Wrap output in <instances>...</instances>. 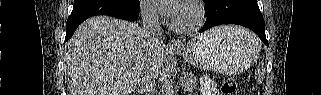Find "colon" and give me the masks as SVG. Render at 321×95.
Segmentation results:
<instances>
[{"label":"colon","instance_id":"obj_1","mask_svg":"<svg viewBox=\"0 0 321 95\" xmlns=\"http://www.w3.org/2000/svg\"><path fill=\"white\" fill-rule=\"evenodd\" d=\"M237 87L236 80L233 78L226 79L221 86V92L223 94H232L235 92Z\"/></svg>","mask_w":321,"mask_h":95}]
</instances>
